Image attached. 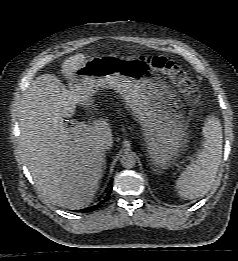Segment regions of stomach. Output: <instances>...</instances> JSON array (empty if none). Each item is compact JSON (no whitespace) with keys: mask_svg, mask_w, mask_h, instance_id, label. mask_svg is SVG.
Returning a JSON list of instances; mask_svg holds the SVG:
<instances>
[{"mask_svg":"<svg viewBox=\"0 0 238 261\" xmlns=\"http://www.w3.org/2000/svg\"><path fill=\"white\" fill-rule=\"evenodd\" d=\"M69 86L88 97L99 88L114 89L141 124L154 166H169L186 141L180 106L167 86L141 61L106 56L87 60L75 71Z\"/></svg>","mask_w":238,"mask_h":261,"instance_id":"stomach-1","label":"stomach"}]
</instances>
